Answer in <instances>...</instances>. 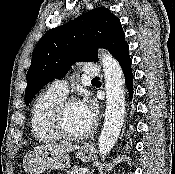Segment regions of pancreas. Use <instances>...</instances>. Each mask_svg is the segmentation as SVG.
<instances>
[{
	"instance_id": "pancreas-1",
	"label": "pancreas",
	"mask_w": 175,
	"mask_h": 174,
	"mask_svg": "<svg viewBox=\"0 0 175 174\" xmlns=\"http://www.w3.org/2000/svg\"><path fill=\"white\" fill-rule=\"evenodd\" d=\"M81 168L79 166H74L71 170L67 172V174H79Z\"/></svg>"
}]
</instances>
